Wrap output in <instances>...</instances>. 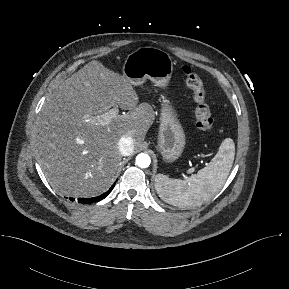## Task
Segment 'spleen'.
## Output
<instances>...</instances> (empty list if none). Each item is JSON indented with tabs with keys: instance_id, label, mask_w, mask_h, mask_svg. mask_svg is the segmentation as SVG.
Segmentation results:
<instances>
[{
	"instance_id": "3e777b00",
	"label": "spleen",
	"mask_w": 289,
	"mask_h": 289,
	"mask_svg": "<svg viewBox=\"0 0 289 289\" xmlns=\"http://www.w3.org/2000/svg\"><path fill=\"white\" fill-rule=\"evenodd\" d=\"M235 157V144L231 138L222 141L217 154L208 166L185 180L155 177L159 197L174 206L193 208L211 200L224 185Z\"/></svg>"
}]
</instances>
